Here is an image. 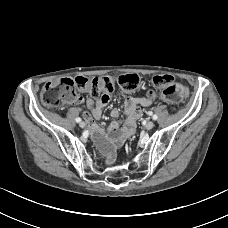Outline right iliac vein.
I'll use <instances>...</instances> for the list:
<instances>
[{
    "instance_id": "right-iliac-vein-1",
    "label": "right iliac vein",
    "mask_w": 228,
    "mask_h": 228,
    "mask_svg": "<svg viewBox=\"0 0 228 228\" xmlns=\"http://www.w3.org/2000/svg\"><path fill=\"white\" fill-rule=\"evenodd\" d=\"M79 126H80L81 128H84V127L86 126V124H85V122L82 121V122L79 123Z\"/></svg>"
}]
</instances>
